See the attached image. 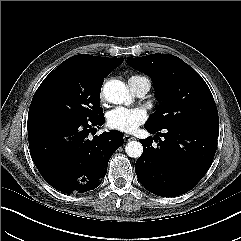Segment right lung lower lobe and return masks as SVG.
<instances>
[{
  "label": "right lung lower lobe",
  "instance_id": "obj_1",
  "mask_svg": "<svg viewBox=\"0 0 241 241\" xmlns=\"http://www.w3.org/2000/svg\"><path fill=\"white\" fill-rule=\"evenodd\" d=\"M103 115L85 122L45 120L28 124L30 153L38 171L53 188L70 194L97 188L108 161L124 140L112 130L88 138L92 126H102Z\"/></svg>",
  "mask_w": 241,
  "mask_h": 241
}]
</instances>
